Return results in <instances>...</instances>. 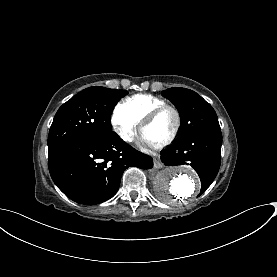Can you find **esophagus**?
Here are the masks:
<instances>
[{
    "mask_svg": "<svg viewBox=\"0 0 277 277\" xmlns=\"http://www.w3.org/2000/svg\"><path fill=\"white\" fill-rule=\"evenodd\" d=\"M153 166L156 169H161L163 167V163L161 162V160L159 158H155Z\"/></svg>",
    "mask_w": 277,
    "mask_h": 277,
    "instance_id": "obj_1",
    "label": "esophagus"
}]
</instances>
